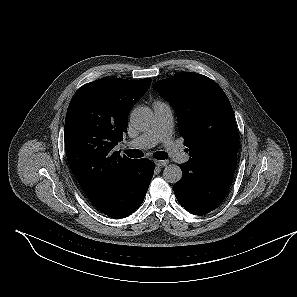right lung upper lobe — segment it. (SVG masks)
I'll list each match as a JSON object with an SVG mask.
<instances>
[{
	"mask_svg": "<svg viewBox=\"0 0 297 297\" xmlns=\"http://www.w3.org/2000/svg\"><path fill=\"white\" fill-rule=\"evenodd\" d=\"M151 79L104 78L80 87L69 104L64 129L71 171L90 202L104 207L136 160L113 148L127 131L128 114Z\"/></svg>",
	"mask_w": 297,
	"mask_h": 297,
	"instance_id": "cb5924a9",
	"label": "right lung upper lobe"
}]
</instances>
